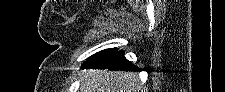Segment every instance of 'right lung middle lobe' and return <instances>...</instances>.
<instances>
[{
  "label": "right lung middle lobe",
  "instance_id": "obj_1",
  "mask_svg": "<svg viewBox=\"0 0 225 92\" xmlns=\"http://www.w3.org/2000/svg\"><path fill=\"white\" fill-rule=\"evenodd\" d=\"M114 51H117V49H115V48L114 49L113 48H111V49H105V50H102V51H100L98 53H95L94 55L90 56L87 59L86 62L83 63L82 68H85L86 66H88L92 62H94V61H96V60H98V59H100L102 57H105L106 55H108V54H110V53H112Z\"/></svg>",
  "mask_w": 225,
  "mask_h": 92
}]
</instances>
